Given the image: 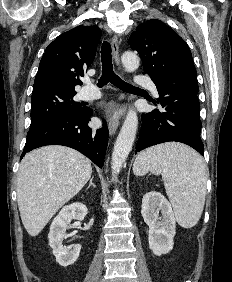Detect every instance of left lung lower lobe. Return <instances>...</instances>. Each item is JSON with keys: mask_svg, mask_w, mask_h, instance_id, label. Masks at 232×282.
<instances>
[{"mask_svg": "<svg viewBox=\"0 0 232 282\" xmlns=\"http://www.w3.org/2000/svg\"><path fill=\"white\" fill-rule=\"evenodd\" d=\"M154 83L159 93L157 101L164 111L155 109L142 116L136 152L160 143L176 141L187 144L204 155V146L200 138L198 85Z\"/></svg>", "mask_w": 232, "mask_h": 282, "instance_id": "obj_1", "label": "left lung lower lobe"}]
</instances>
